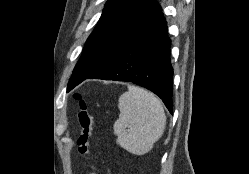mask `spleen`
Returning <instances> with one entry per match:
<instances>
[{"mask_svg":"<svg viewBox=\"0 0 249 174\" xmlns=\"http://www.w3.org/2000/svg\"><path fill=\"white\" fill-rule=\"evenodd\" d=\"M120 114L113 125L117 143L135 155L148 153L164 132L166 116L160 100L133 85L119 98Z\"/></svg>","mask_w":249,"mask_h":174,"instance_id":"3e777b00","label":"spleen"}]
</instances>
